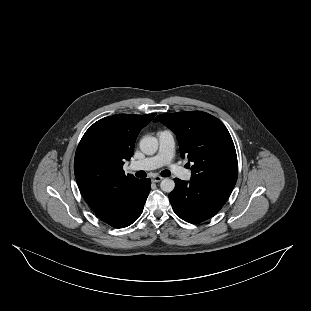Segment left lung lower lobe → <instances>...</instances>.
Returning a JSON list of instances; mask_svg holds the SVG:
<instances>
[{
  "mask_svg": "<svg viewBox=\"0 0 311 311\" xmlns=\"http://www.w3.org/2000/svg\"><path fill=\"white\" fill-rule=\"evenodd\" d=\"M175 189L169 194L174 212L189 223L205 221L223 207L233 188L175 178Z\"/></svg>",
  "mask_w": 311,
  "mask_h": 311,
  "instance_id": "0a47b994",
  "label": "left lung lower lobe"
}]
</instances>
